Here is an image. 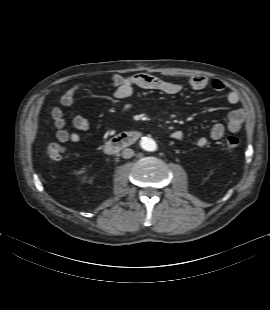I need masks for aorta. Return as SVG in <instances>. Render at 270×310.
Instances as JSON below:
<instances>
[{
  "label": "aorta",
  "mask_w": 270,
  "mask_h": 310,
  "mask_svg": "<svg viewBox=\"0 0 270 310\" xmlns=\"http://www.w3.org/2000/svg\"><path fill=\"white\" fill-rule=\"evenodd\" d=\"M141 147L146 151H155L157 149L156 142L151 138H143L140 142Z\"/></svg>",
  "instance_id": "762f6f07"
}]
</instances>
